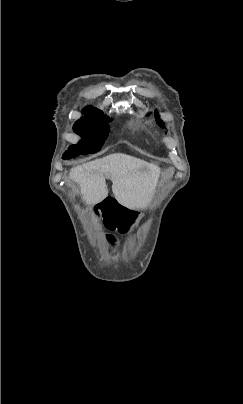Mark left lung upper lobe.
<instances>
[{"label": "left lung upper lobe", "mask_w": 243, "mask_h": 404, "mask_svg": "<svg viewBox=\"0 0 243 404\" xmlns=\"http://www.w3.org/2000/svg\"><path fill=\"white\" fill-rule=\"evenodd\" d=\"M155 116H156L157 123H158L161 127H164V123L159 119L158 115H156V112H155Z\"/></svg>", "instance_id": "5c2ea615"}]
</instances>
